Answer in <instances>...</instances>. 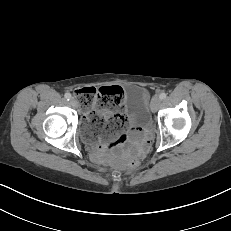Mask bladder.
I'll list each match as a JSON object with an SVG mask.
<instances>
[{
  "instance_id": "1",
  "label": "bladder",
  "mask_w": 231,
  "mask_h": 231,
  "mask_svg": "<svg viewBox=\"0 0 231 231\" xmlns=\"http://www.w3.org/2000/svg\"><path fill=\"white\" fill-rule=\"evenodd\" d=\"M123 101L129 119L135 125L148 129L151 125V117L150 102L146 90L139 85H130L125 90ZM78 133L83 142L90 143L94 141L93 131L89 124H82Z\"/></svg>"
}]
</instances>
